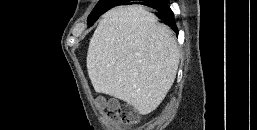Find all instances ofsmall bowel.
Segmentation results:
<instances>
[{
  "label": "small bowel",
  "mask_w": 257,
  "mask_h": 130,
  "mask_svg": "<svg viewBox=\"0 0 257 130\" xmlns=\"http://www.w3.org/2000/svg\"><path fill=\"white\" fill-rule=\"evenodd\" d=\"M100 104L106 105L109 108L114 107L115 103L113 101H106L105 99H100Z\"/></svg>",
  "instance_id": "small-bowel-1"
}]
</instances>
